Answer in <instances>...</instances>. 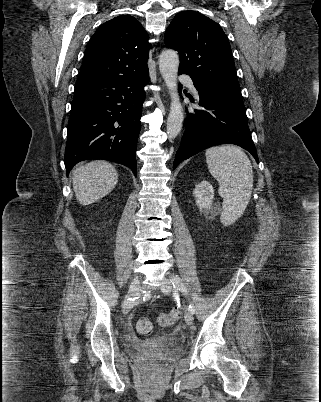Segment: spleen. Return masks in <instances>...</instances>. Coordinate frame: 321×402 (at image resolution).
<instances>
[{
	"label": "spleen",
	"mask_w": 321,
	"mask_h": 402,
	"mask_svg": "<svg viewBox=\"0 0 321 402\" xmlns=\"http://www.w3.org/2000/svg\"><path fill=\"white\" fill-rule=\"evenodd\" d=\"M205 155L209 172L218 181V192L223 198L221 221L230 224L243 214L250 201L251 162L241 148L232 145L209 148Z\"/></svg>",
	"instance_id": "1"
}]
</instances>
